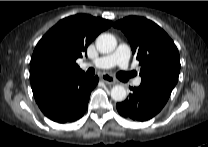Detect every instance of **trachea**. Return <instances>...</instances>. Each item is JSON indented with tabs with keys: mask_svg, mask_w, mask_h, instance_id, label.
<instances>
[{
	"mask_svg": "<svg viewBox=\"0 0 208 147\" xmlns=\"http://www.w3.org/2000/svg\"><path fill=\"white\" fill-rule=\"evenodd\" d=\"M89 73H90V74H94V73H95V70H94V69H90V70H89Z\"/></svg>",
	"mask_w": 208,
	"mask_h": 147,
	"instance_id": "obj_1",
	"label": "trachea"
}]
</instances>
